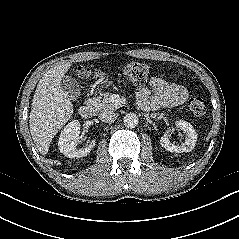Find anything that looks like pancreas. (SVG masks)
Masks as SVG:
<instances>
[{
    "label": "pancreas",
    "instance_id": "1",
    "mask_svg": "<svg viewBox=\"0 0 239 239\" xmlns=\"http://www.w3.org/2000/svg\"><path fill=\"white\" fill-rule=\"evenodd\" d=\"M122 105L113 101L111 94H105L102 100H99L95 107L99 112H110L119 109Z\"/></svg>",
    "mask_w": 239,
    "mask_h": 239
}]
</instances>
